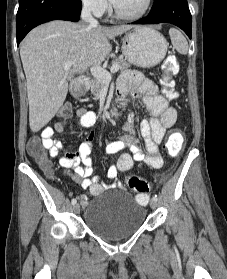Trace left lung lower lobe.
Here are the masks:
<instances>
[{
	"mask_svg": "<svg viewBox=\"0 0 227 279\" xmlns=\"http://www.w3.org/2000/svg\"><path fill=\"white\" fill-rule=\"evenodd\" d=\"M167 22L180 27L189 38L192 35V17L187 0H155L147 17L133 24H157Z\"/></svg>",
	"mask_w": 227,
	"mask_h": 279,
	"instance_id": "0a47b994",
	"label": "left lung lower lobe"
}]
</instances>
